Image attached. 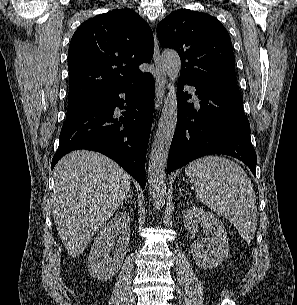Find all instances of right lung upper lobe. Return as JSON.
I'll return each mask as SVG.
<instances>
[{
	"label": "right lung upper lobe",
	"instance_id": "right-lung-upper-lobe-1",
	"mask_svg": "<svg viewBox=\"0 0 297 305\" xmlns=\"http://www.w3.org/2000/svg\"><path fill=\"white\" fill-rule=\"evenodd\" d=\"M150 26L132 9L113 10L82 23L69 46L68 104L102 97L146 73L139 65L152 59Z\"/></svg>",
	"mask_w": 297,
	"mask_h": 305
}]
</instances>
